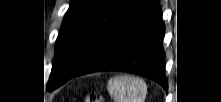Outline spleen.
I'll return each mask as SVG.
<instances>
[{
    "label": "spleen",
    "instance_id": "obj_1",
    "mask_svg": "<svg viewBox=\"0 0 221 102\" xmlns=\"http://www.w3.org/2000/svg\"><path fill=\"white\" fill-rule=\"evenodd\" d=\"M107 89L114 102H144L146 83L137 77L120 75L108 81Z\"/></svg>",
    "mask_w": 221,
    "mask_h": 102
}]
</instances>
